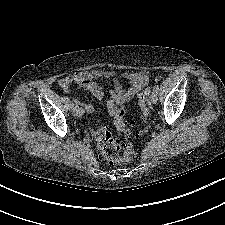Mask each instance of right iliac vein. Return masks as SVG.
I'll use <instances>...</instances> for the list:
<instances>
[{"label":"right iliac vein","mask_w":225,"mask_h":225,"mask_svg":"<svg viewBox=\"0 0 225 225\" xmlns=\"http://www.w3.org/2000/svg\"><path fill=\"white\" fill-rule=\"evenodd\" d=\"M71 111H72L73 116H75V117L79 116L80 110H79L78 106H73L71 108Z\"/></svg>","instance_id":"obj_1"}]
</instances>
